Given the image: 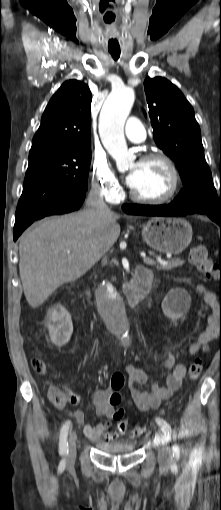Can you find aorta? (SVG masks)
I'll list each match as a JSON object with an SVG mask.
<instances>
[{"instance_id": "762f6f07", "label": "aorta", "mask_w": 221, "mask_h": 510, "mask_svg": "<svg viewBox=\"0 0 221 510\" xmlns=\"http://www.w3.org/2000/svg\"><path fill=\"white\" fill-rule=\"evenodd\" d=\"M134 103V91L123 86L112 90L99 117V134L108 153L116 161L119 170L126 168L131 154L124 137V124ZM101 312L114 327L120 339L129 340L125 302L112 283L101 286L99 292Z\"/></svg>"}]
</instances>
